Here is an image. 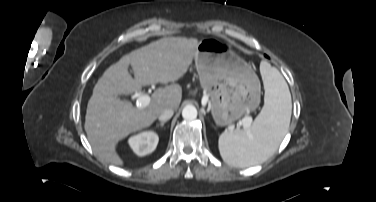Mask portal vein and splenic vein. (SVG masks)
Wrapping results in <instances>:
<instances>
[{
    "label": "portal vein and splenic vein",
    "instance_id": "1",
    "mask_svg": "<svg viewBox=\"0 0 376 202\" xmlns=\"http://www.w3.org/2000/svg\"><path fill=\"white\" fill-rule=\"evenodd\" d=\"M151 101V97L147 94H141L138 98H137V107H142V106H147ZM242 124L244 126V128H248L251 124V119L250 118H244L242 120Z\"/></svg>",
    "mask_w": 376,
    "mask_h": 202
}]
</instances>
